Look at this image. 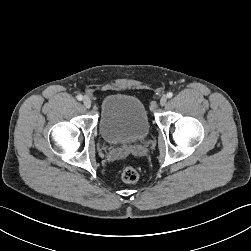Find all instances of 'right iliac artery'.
<instances>
[{"instance_id": "82829eb1", "label": "right iliac artery", "mask_w": 251, "mask_h": 251, "mask_svg": "<svg viewBox=\"0 0 251 251\" xmlns=\"http://www.w3.org/2000/svg\"><path fill=\"white\" fill-rule=\"evenodd\" d=\"M76 98H77V100H79V101L83 100V96H82V95H80V94H79V95H77V97H76Z\"/></svg>"}]
</instances>
